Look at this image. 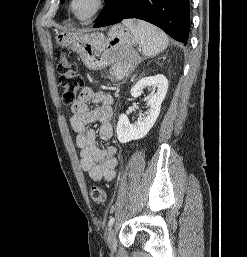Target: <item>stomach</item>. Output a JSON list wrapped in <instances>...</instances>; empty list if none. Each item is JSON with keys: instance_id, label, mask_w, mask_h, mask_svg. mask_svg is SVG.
<instances>
[{"instance_id": "stomach-1", "label": "stomach", "mask_w": 247, "mask_h": 257, "mask_svg": "<svg viewBox=\"0 0 247 257\" xmlns=\"http://www.w3.org/2000/svg\"><path fill=\"white\" fill-rule=\"evenodd\" d=\"M58 46L69 47L76 51L86 67L99 70L111 64L127 68L123 75H113L116 79L126 77L138 62L133 50V36L123 25L113 26L105 36L103 33L74 35L58 33L55 37Z\"/></svg>"}]
</instances>
